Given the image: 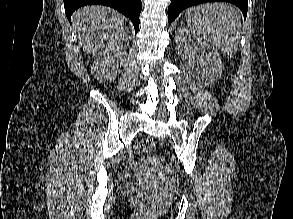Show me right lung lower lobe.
Wrapping results in <instances>:
<instances>
[{"mask_svg":"<svg viewBox=\"0 0 293 219\" xmlns=\"http://www.w3.org/2000/svg\"><path fill=\"white\" fill-rule=\"evenodd\" d=\"M91 4H102L118 10L132 21L135 33L138 32L139 15L142 9L141 0H64L68 20L71 21V15L76 9Z\"/></svg>","mask_w":293,"mask_h":219,"instance_id":"obj_1","label":"right lung lower lobe"}]
</instances>
